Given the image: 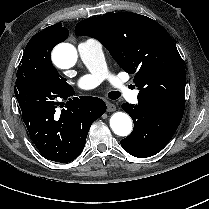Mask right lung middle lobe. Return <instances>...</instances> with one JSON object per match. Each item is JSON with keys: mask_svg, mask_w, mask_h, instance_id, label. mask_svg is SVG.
Returning a JSON list of instances; mask_svg holds the SVG:
<instances>
[{"mask_svg": "<svg viewBox=\"0 0 209 209\" xmlns=\"http://www.w3.org/2000/svg\"><path fill=\"white\" fill-rule=\"evenodd\" d=\"M54 47L55 42L49 38L48 32L35 34L24 50L16 81L28 79L61 90L67 88V79L59 75L51 62V51Z\"/></svg>", "mask_w": 209, "mask_h": 209, "instance_id": "1", "label": "right lung middle lobe"}]
</instances>
